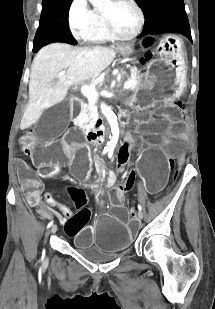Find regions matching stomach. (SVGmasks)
<instances>
[{"instance_id":"1","label":"stomach","mask_w":215,"mask_h":309,"mask_svg":"<svg viewBox=\"0 0 215 309\" xmlns=\"http://www.w3.org/2000/svg\"><path fill=\"white\" fill-rule=\"evenodd\" d=\"M117 50L122 55H130L134 51V44H125ZM156 54L158 58L148 65L133 89V102L174 100L186 86L183 41L177 36L166 35L160 39Z\"/></svg>"}]
</instances>
